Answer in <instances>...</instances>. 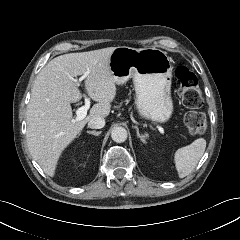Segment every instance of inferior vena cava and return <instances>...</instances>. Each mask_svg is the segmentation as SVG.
Instances as JSON below:
<instances>
[{
    "label": "inferior vena cava",
    "instance_id": "1",
    "mask_svg": "<svg viewBox=\"0 0 240 240\" xmlns=\"http://www.w3.org/2000/svg\"><path fill=\"white\" fill-rule=\"evenodd\" d=\"M105 126V119L100 116L93 117L89 122H88V127L92 129H100Z\"/></svg>",
    "mask_w": 240,
    "mask_h": 240
}]
</instances>
